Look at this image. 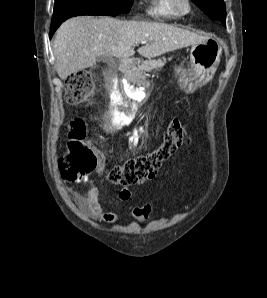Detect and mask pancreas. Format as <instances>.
I'll list each match as a JSON object with an SVG mask.
<instances>
[{
  "mask_svg": "<svg viewBox=\"0 0 267 298\" xmlns=\"http://www.w3.org/2000/svg\"><path fill=\"white\" fill-rule=\"evenodd\" d=\"M165 64V59L163 58L158 60H149L144 62L142 65L134 68L130 74L128 75L129 79L131 80H138L144 79L145 76L143 75L144 72H149L157 68H162Z\"/></svg>",
  "mask_w": 267,
  "mask_h": 298,
  "instance_id": "obj_1",
  "label": "pancreas"
}]
</instances>
